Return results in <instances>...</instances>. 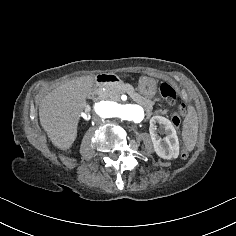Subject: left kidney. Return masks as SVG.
<instances>
[{"mask_svg":"<svg viewBox=\"0 0 236 236\" xmlns=\"http://www.w3.org/2000/svg\"><path fill=\"white\" fill-rule=\"evenodd\" d=\"M157 124L160 128L157 129ZM154 150L157 155L164 159L177 158L179 155V141L176 130L171 121L163 116H153L149 127ZM165 134L164 138L159 136Z\"/></svg>","mask_w":236,"mask_h":236,"instance_id":"left-kidney-1","label":"left kidney"}]
</instances>
